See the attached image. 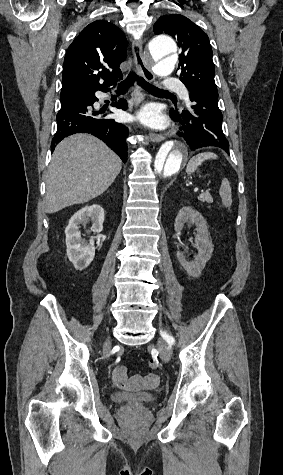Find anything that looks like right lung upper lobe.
Here are the masks:
<instances>
[{
    "mask_svg": "<svg viewBox=\"0 0 283 475\" xmlns=\"http://www.w3.org/2000/svg\"><path fill=\"white\" fill-rule=\"evenodd\" d=\"M126 37L114 24L97 20L87 25L67 49L62 89L99 90L122 79ZM104 80V81H103Z\"/></svg>",
    "mask_w": 283,
    "mask_h": 475,
    "instance_id": "1",
    "label": "right lung upper lobe"
}]
</instances>
